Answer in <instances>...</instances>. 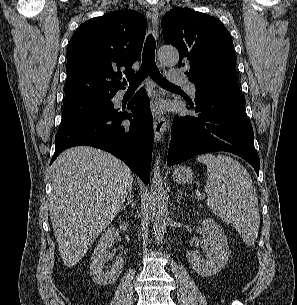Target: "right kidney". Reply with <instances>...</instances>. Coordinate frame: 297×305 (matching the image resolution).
I'll return each mask as SVG.
<instances>
[{
    "label": "right kidney",
    "instance_id": "obj_1",
    "mask_svg": "<svg viewBox=\"0 0 297 305\" xmlns=\"http://www.w3.org/2000/svg\"><path fill=\"white\" fill-rule=\"evenodd\" d=\"M127 222L120 224L119 228L126 231ZM117 236V230L114 226H110L100 238L91 257L90 275L94 283L100 286L113 284L121 274L123 268V259L120 256L115 258L114 264L108 269L105 263L111 259L108 248L112 246Z\"/></svg>",
    "mask_w": 297,
    "mask_h": 305
}]
</instances>
